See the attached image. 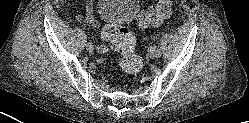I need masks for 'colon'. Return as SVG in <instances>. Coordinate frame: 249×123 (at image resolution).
Returning <instances> with one entry per match:
<instances>
[{
    "label": "colon",
    "instance_id": "5ec220e1",
    "mask_svg": "<svg viewBox=\"0 0 249 123\" xmlns=\"http://www.w3.org/2000/svg\"><path fill=\"white\" fill-rule=\"evenodd\" d=\"M172 9V0H159L154 6L142 11L138 17V25L146 29L157 25L167 18ZM103 35L109 41L112 49L121 54L120 67L127 73H136L142 68V60L135 53V39L133 34L125 29L107 26Z\"/></svg>",
    "mask_w": 249,
    "mask_h": 123
}]
</instances>
